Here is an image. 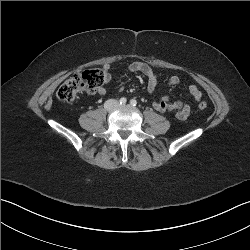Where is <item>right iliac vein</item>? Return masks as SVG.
Here are the masks:
<instances>
[{
	"label": "right iliac vein",
	"mask_w": 250,
	"mask_h": 250,
	"mask_svg": "<svg viewBox=\"0 0 250 250\" xmlns=\"http://www.w3.org/2000/svg\"><path fill=\"white\" fill-rule=\"evenodd\" d=\"M116 105H117L116 101L111 100V101L108 102L107 108H108V109H112V108H114Z\"/></svg>",
	"instance_id": "obj_1"
}]
</instances>
